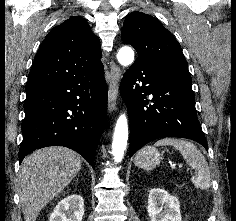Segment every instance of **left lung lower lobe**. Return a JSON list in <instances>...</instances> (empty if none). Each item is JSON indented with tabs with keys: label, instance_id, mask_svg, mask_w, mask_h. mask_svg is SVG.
Wrapping results in <instances>:
<instances>
[{
	"label": "left lung lower lobe",
	"instance_id": "1",
	"mask_svg": "<svg viewBox=\"0 0 236 221\" xmlns=\"http://www.w3.org/2000/svg\"><path fill=\"white\" fill-rule=\"evenodd\" d=\"M191 86L192 80L142 61L125 72L120 93L131 124L129 157L163 137L192 139L208 150ZM148 95L153 96V105L146 99Z\"/></svg>",
	"mask_w": 236,
	"mask_h": 221
}]
</instances>
